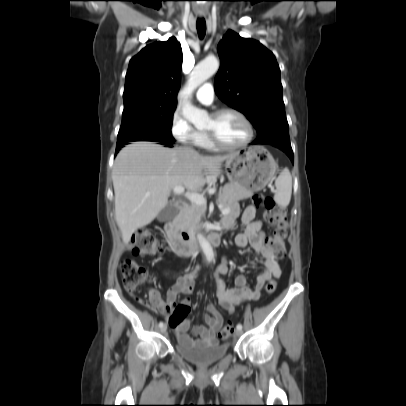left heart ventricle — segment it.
<instances>
[{
	"instance_id": "obj_1",
	"label": "left heart ventricle",
	"mask_w": 406,
	"mask_h": 406,
	"mask_svg": "<svg viewBox=\"0 0 406 406\" xmlns=\"http://www.w3.org/2000/svg\"><path fill=\"white\" fill-rule=\"evenodd\" d=\"M205 130H212L219 139L230 145L242 142L247 136V127L233 113H225L218 118L209 117Z\"/></svg>"
}]
</instances>
